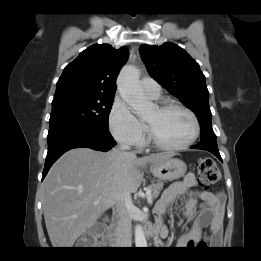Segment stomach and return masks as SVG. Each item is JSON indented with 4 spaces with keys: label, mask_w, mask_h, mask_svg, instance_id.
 <instances>
[{
    "label": "stomach",
    "mask_w": 261,
    "mask_h": 261,
    "mask_svg": "<svg viewBox=\"0 0 261 261\" xmlns=\"http://www.w3.org/2000/svg\"><path fill=\"white\" fill-rule=\"evenodd\" d=\"M187 166L184 161L179 158L170 156L162 162L153 165L150 168L152 174L162 181H172L179 179L186 173Z\"/></svg>",
    "instance_id": "stomach-1"
}]
</instances>
